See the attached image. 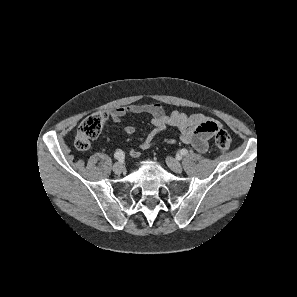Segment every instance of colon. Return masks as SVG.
Segmentation results:
<instances>
[{
  "instance_id": "colon-1",
  "label": "colon",
  "mask_w": 297,
  "mask_h": 297,
  "mask_svg": "<svg viewBox=\"0 0 297 297\" xmlns=\"http://www.w3.org/2000/svg\"><path fill=\"white\" fill-rule=\"evenodd\" d=\"M106 120L107 116L102 112L86 117L78 126L75 148L79 151L88 150L91 140L99 135ZM214 144L220 153H226L231 146V137L228 132L220 129L215 135Z\"/></svg>"
}]
</instances>
